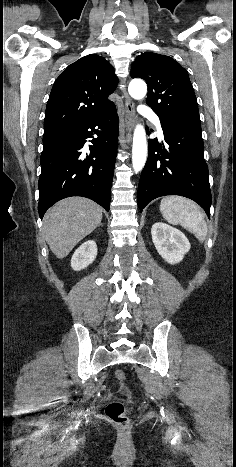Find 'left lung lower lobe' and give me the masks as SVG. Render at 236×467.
<instances>
[{
  "mask_svg": "<svg viewBox=\"0 0 236 467\" xmlns=\"http://www.w3.org/2000/svg\"><path fill=\"white\" fill-rule=\"evenodd\" d=\"M166 145L149 140L138 186L140 211L153 199L180 195L194 200L210 217L211 191L200 120L160 119ZM149 134V132H148Z\"/></svg>",
  "mask_w": 236,
  "mask_h": 467,
  "instance_id": "obj_1",
  "label": "left lung lower lobe"
}]
</instances>
